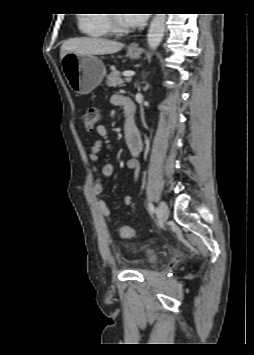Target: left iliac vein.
<instances>
[{"mask_svg":"<svg viewBox=\"0 0 254 355\" xmlns=\"http://www.w3.org/2000/svg\"><path fill=\"white\" fill-rule=\"evenodd\" d=\"M158 216L163 222H165L169 217V208L167 203L164 201H161L158 206Z\"/></svg>","mask_w":254,"mask_h":355,"instance_id":"1","label":"left iliac vein"}]
</instances>
